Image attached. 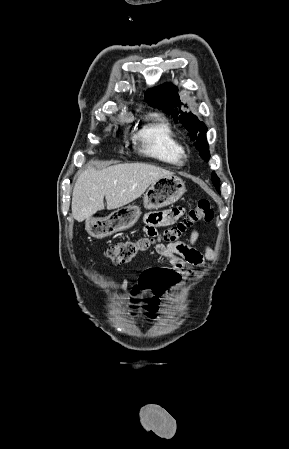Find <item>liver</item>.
Wrapping results in <instances>:
<instances>
[{
	"label": "liver",
	"mask_w": 289,
	"mask_h": 449,
	"mask_svg": "<svg viewBox=\"0 0 289 449\" xmlns=\"http://www.w3.org/2000/svg\"><path fill=\"white\" fill-rule=\"evenodd\" d=\"M172 172L145 163L118 164L103 170L88 166L79 172L72 194V215L82 222L97 211L113 210L139 198L158 179Z\"/></svg>",
	"instance_id": "liver-1"
}]
</instances>
